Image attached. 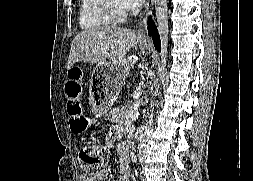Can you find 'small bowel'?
Instances as JSON below:
<instances>
[{"label":"small bowel","instance_id":"1","mask_svg":"<svg viewBox=\"0 0 253 181\" xmlns=\"http://www.w3.org/2000/svg\"><path fill=\"white\" fill-rule=\"evenodd\" d=\"M120 111L114 110L111 112V119L116 120L120 118ZM105 143L108 147H112L115 144V137L112 134H109L105 138ZM110 171V168L107 167L103 169L102 171L98 172L96 175H86L83 174L80 177V181H100L104 180L108 173ZM114 181H129V165H128V157L126 153H123L117 163V176Z\"/></svg>","mask_w":253,"mask_h":181}]
</instances>
